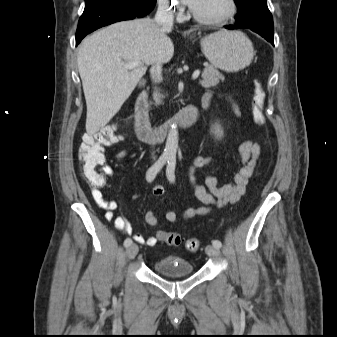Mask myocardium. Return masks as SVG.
Returning <instances> with one entry per match:
<instances>
[{"instance_id": "myocardium-1", "label": "myocardium", "mask_w": 337, "mask_h": 337, "mask_svg": "<svg viewBox=\"0 0 337 337\" xmlns=\"http://www.w3.org/2000/svg\"><path fill=\"white\" fill-rule=\"evenodd\" d=\"M238 11L237 0H227V10L219 17H206L197 14L193 9L191 10L192 17L199 23L205 25L220 26L230 21Z\"/></svg>"}]
</instances>
